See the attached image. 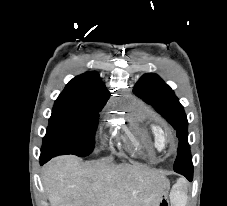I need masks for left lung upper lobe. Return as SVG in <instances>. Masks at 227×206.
I'll list each match as a JSON object with an SVG mask.
<instances>
[{
	"label": "left lung upper lobe",
	"instance_id": "1",
	"mask_svg": "<svg viewBox=\"0 0 227 206\" xmlns=\"http://www.w3.org/2000/svg\"><path fill=\"white\" fill-rule=\"evenodd\" d=\"M133 92L153 106L176 130L179 145L174 170L193 169L187 117L172 89L157 74L147 73L136 83Z\"/></svg>",
	"mask_w": 227,
	"mask_h": 206
}]
</instances>
